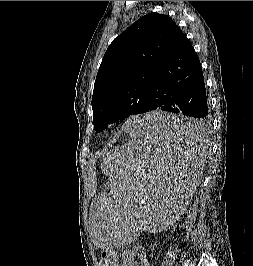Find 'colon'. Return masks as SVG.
I'll return each mask as SVG.
<instances>
[{
  "label": "colon",
  "mask_w": 253,
  "mask_h": 266,
  "mask_svg": "<svg viewBox=\"0 0 253 266\" xmlns=\"http://www.w3.org/2000/svg\"><path fill=\"white\" fill-rule=\"evenodd\" d=\"M120 261L114 252H104L99 260V266H119Z\"/></svg>",
  "instance_id": "5ec220e1"
}]
</instances>
